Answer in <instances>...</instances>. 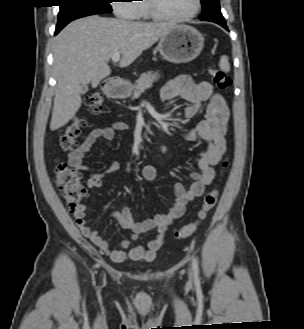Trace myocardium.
Instances as JSON below:
<instances>
[{
    "instance_id": "1",
    "label": "myocardium",
    "mask_w": 304,
    "mask_h": 329,
    "mask_svg": "<svg viewBox=\"0 0 304 329\" xmlns=\"http://www.w3.org/2000/svg\"><path fill=\"white\" fill-rule=\"evenodd\" d=\"M147 6L150 12V15L159 21H167V22H182L188 19L195 17L201 10L202 2L201 0H195V7L192 12L181 15V16H172L165 14L159 7L157 0H146Z\"/></svg>"
}]
</instances>
